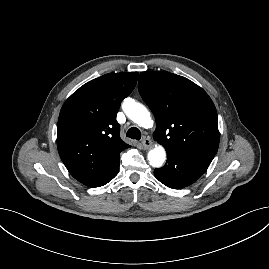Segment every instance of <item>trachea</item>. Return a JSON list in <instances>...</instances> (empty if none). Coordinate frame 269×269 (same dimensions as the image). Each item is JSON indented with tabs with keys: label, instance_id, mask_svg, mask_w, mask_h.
Segmentation results:
<instances>
[{
	"label": "trachea",
	"instance_id": "obj_1",
	"mask_svg": "<svg viewBox=\"0 0 269 269\" xmlns=\"http://www.w3.org/2000/svg\"><path fill=\"white\" fill-rule=\"evenodd\" d=\"M126 136L131 138V139H136V140H140L141 139V132L138 128L136 127H131L127 133Z\"/></svg>",
	"mask_w": 269,
	"mask_h": 269
}]
</instances>
